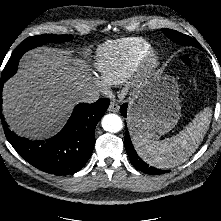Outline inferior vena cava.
I'll list each match as a JSON object with an SVG mask.
<instances>
[{
    "label": "inferior vena cava",
    "instance_id": "inferior-vena-cava-1",
    "mask_svg": "<svg viewBox=\"0 0 221 221\" xmlns=\"http://www.w3.org/2000/svg\"><path fill=\"white\" fill-rule=\"evenodd\" d=\"M99 91L92 86H85L81 91L76 95L78 102L82 103H93L99 99Z\"/></svg>",
    "mask_w": 221,
    "mask_h": 221
}]
</instances>
